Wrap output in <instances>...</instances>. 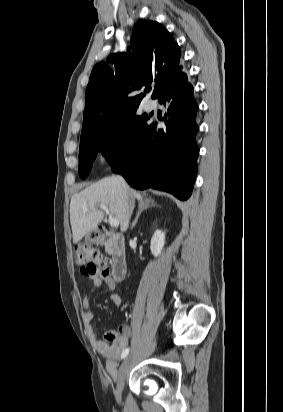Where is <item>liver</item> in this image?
Listing matches in <instances>:
<instances>
[{
  "label": "liver",
  "instance_id": "liver-1",
  "mask_svg": "<svg viewBox=\"0 0 283 412\" xmlns=\"http://www.w3.org/2000/svg\"><path fill=\"white\" fill-rule=\"evenodd\" d=\"M133 198L140 203L143 197L140 193L130 191ZM128 191L122 186L116 176L106 177L97 183L76 193L71 198L70 222L73 233V242H79L86 234L95 229L103 220L104 214L98 207H108L111 216L117 219L121 232H125L129 226L130 215L127 210ZM87 208L88 212L83 209Z\"/></svg>",
  "mask_w": 283,
  "mask_h": 412
}]
</instances>
